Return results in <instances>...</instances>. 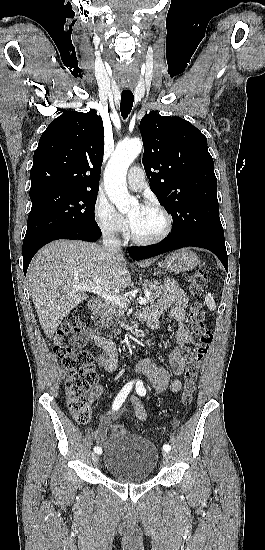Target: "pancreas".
<instances>
[{
	"label": "pancreas",
	"instance_id": "obj_1",
	"mask_svg": "<svg viewBox=\"0 0 265 550\" xmlns=\"http://www.w3.org/2000/svg\"><path fill=\"white\" fill-rule=\"evenodd\" d=\"M141 285L145 291H148L150 293V296L147 298V301L149 303H154L155 299L160 297L162 293V286L158 281H145L144 283H141ZM124 310V306H119L106 300L103 303L101 310L97 313V317L100 318L102 326L108 325L109 323L114 324L120 321V319L124 316ZM118 333H115L114 337Z\"/></svg>",
	"mask_w": 265,
	"mask_h": 550
}]
</instances>
